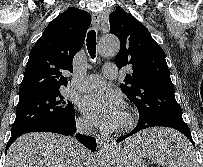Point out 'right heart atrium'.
I'll use <instances>...</instances> for the list:
<instances>
[{
    "mask_svg": "<svg viewBox=\"0 0 203 167\" xmlns=\"http://www.w3.org/2000/svg\"><path fill=\"white\" fill-rule=\"evenodd\" d=\"M77 125L80 129H88L89 128V122L83 118V117H80L78 120H77Z\"/></svg>",
    "mask_w": 203,
    "mask_h": 167,
    "instance_id": "obj_1",
    "label": "right heart atrium"
}]
</instances>
